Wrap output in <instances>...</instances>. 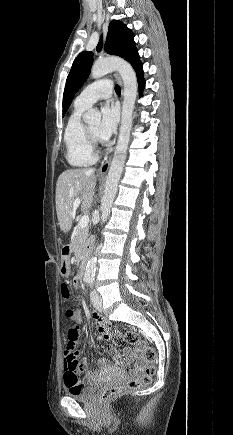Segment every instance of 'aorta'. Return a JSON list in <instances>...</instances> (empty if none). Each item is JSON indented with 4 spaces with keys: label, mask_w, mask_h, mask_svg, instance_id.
<instances>
[{
    "label": "aorta",
    "mask_w": 233,
    "mask_h": 435,
    "mask_svg": "<svg viewBox=\"0 0 233 435\" xmlns=\"http://www.w3.org/2000/svg\"><path fill=\"white\" fill-rule=\"evenodd\" d=\"M112 71H117L124 83V100L122 105V117L118 143L112 159L103 198L101 200V224L105 223L110 215L113 201L116 197L118 183L121 178L124 163L126 160L130 133L132 129V115L137 96V78L129 63L119 58H106L96 61L91 69L92 78H100ZM88 123H99L101 114L90 109L84 115ZM96 271V257L92 256L86 265L84 279L93 281Z\"/></svg>",
    "instance_id": "aorta-1"
}]
</instances>
